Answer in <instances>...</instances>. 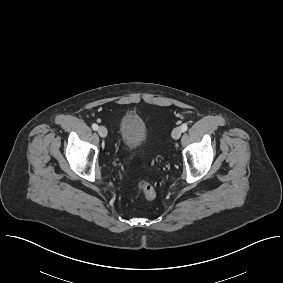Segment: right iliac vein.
<instances>
[{"mask_svg":"<svg viewBox=\"0 0 283 283\" xmlns=\"http://www.w3.org/2000/svg\"><path fill=\"white\" fill-rule=\"evenodd\" d=\"M98 134L102 137L105 138L108 134L107 129L104 126H100L98 128Z\"/></svg>","mask_w":283,"mask_h":283,"instance_id":"63e3f726","label":"right iliac vein"}]
</instances>
